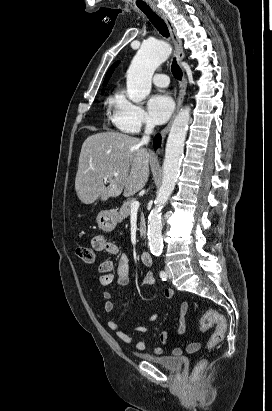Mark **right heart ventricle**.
I'll return each mask as SVG.
<instances>
[{"label": "right heart ventricle", "instance_id": "e07e8e85", "mask_svg": "<svg viewBox=\"0 0 272 411\" xmlns=\"http://www.w3.org/2000/svg\"><path fill=\"white\" fill-rule=\"evenodd\" d=\"M116 94H117V93H116ZM116 94H115V95H116ZM115 95L112 96V97L109 99V102H110V103H111V101L114 99Z\"/></svg>", "mask_w": 272, "mask_h": 411}]
</instances>
